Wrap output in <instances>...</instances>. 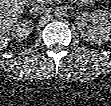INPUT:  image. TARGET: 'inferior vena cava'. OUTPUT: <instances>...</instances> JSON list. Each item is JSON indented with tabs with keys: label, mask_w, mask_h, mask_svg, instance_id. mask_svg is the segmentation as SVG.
I'll use <instances>...</instances> for the list:
<instances>
[{
	"label": "inferior vena cava",
	"mask_w": 111,
	"mask_h": 106,
	"mask_svg": "<svg viewBox=\"0 0 111 106\" xmlns=\"http://www.w3.org/2000/svg\"><path fill=\"white\" fill-rule=\"evenodd\" d=\"M46 4H47V1L37 0V1L32 3L31 11L33 13H38V14L44 13L47 11V8L45 6Z\"/></svg>",
	"instance_id": "obj_1"
}]
</instances>
